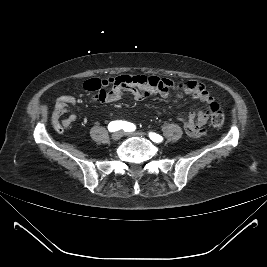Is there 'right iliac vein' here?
<instances>
[{
    "mask_svg": "<svg viewBox=\"0 0 267 267\" xmlns=\"http://www.w3.org/2000/svg\"><path fill=\"white\" fill-rule=\"evenodd\" d=\"M122 135H123V133L120 132V131L115 132V133L112 134V140L113 141H118V140L121 139Z\"/></svg>",
    "mask_w": 267,
    "mask_h": 267,
    "instance_id": "63e3f726",
    "label": "right iliac vein"
}]
</instances>
